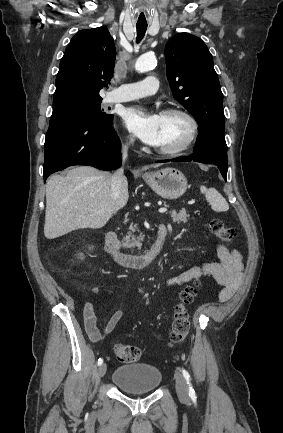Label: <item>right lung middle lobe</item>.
Listing matches in <instances>:
<instances>
[{"label": "right lung middle lobe", "mask_w": 283, "mask_h": 433, "mask_svg": "<svg viewBox=\"0 0 283 433\" xmlns=\"http://www.w3.org/2000/svg\"><path fill=\"white\" fill-rule=\"evenodd\" d=\"M101 101L81 104L63 111L52 113L50 121L73 119V118H93L108 121L113 118L112 114H107L101 110Z\"/></svg>", "instance_id": "dd1d6c3e"}]
</instances>
